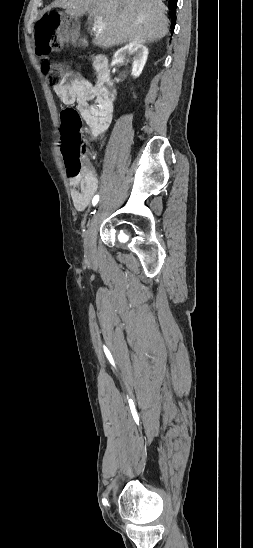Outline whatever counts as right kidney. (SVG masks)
Masks as SVG:
<instances>
[{
  "instance_id": "right-kidney-1",
  "label": "right kidney",
  "mask_w": 253,
  "mask_h": 548,
  "mask_svg": "<svg viewBox=\"0 0 253 548\" xmlns=\"http://www.w3.org/2000/svg\"><path fill=\"white\" fill-rule=\"evenodd\" d=\"M133 55L132 59V76L137 78L142 73L148 57V49L141 43L130 42L124 47L120 48L114 54V59L117 62L127 61Z\"/></svg>"
}]
</instances>
